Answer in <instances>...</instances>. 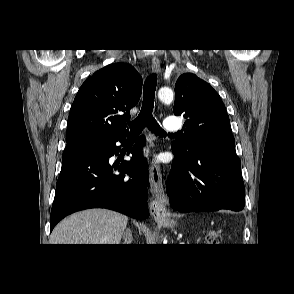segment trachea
I'll return each instance as SVG.
<instances>
[{"instance_id": "trachea-1", "label": "trachea", "mask_w": 294, "mask_h": 294, "mask_svg": "<svg viewBox=\"0 0 294 294\" xmlns=\"http://www.w3.org/2000/svg\"><path fill=\"white\" fill-rule=\"evenodd\" d=\"M156 83L157 77L155 75L149 76L145 81L142 108L137 118L129 122L130 136H138L145 127L156 135H166L165 131L153 117Z\"/></svg>"}]
</instances>
